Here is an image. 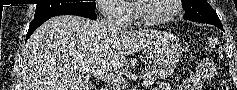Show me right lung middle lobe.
Masks as SVG:
<instances>
[{
  "label": "right lung middle lobe",
  "mask_w": 237,
  "mask_h": 90,
  "mask_svg": "<svg viewBox=\"0 0 237 90\" xmlns=\"http://www.w3.org/2000/svg\"><path fill=\"white\" fill-rule=\"evenodd\" d=\"M95 2L90 3H57V4H37L34 18H39L49 14L67 9H88L95 10Z\"/></svg>",
  "instance_id": "dd1d6c3e"
}]
</instances>
